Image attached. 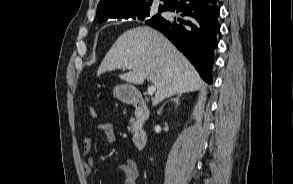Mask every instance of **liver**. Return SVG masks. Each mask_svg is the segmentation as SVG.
I'll list each match as a JSON object with an SVG mask.
<instances>
[{
  "instance_id": "1",
  "label": "liver",
  "mask_w": 293,
  "mask_h": 184,
  "mask_svg": "<svg viewBox=\"0 0 293 184\" xmlns=\"http://www.w3.org/2000/svg\"><path fill=\"white\" fill-rule=\"evenodd\" d=\"M125 68L129 72L120 75L122 80L137 85L146 78L153 82L157 88L153 105L204 86L186 57L162 33L148 26L121 34L105 55L99 73Z\"/></svg>"
}]
</instances>
